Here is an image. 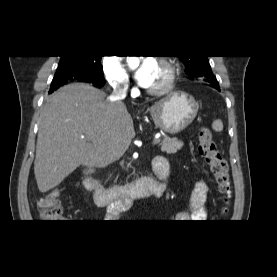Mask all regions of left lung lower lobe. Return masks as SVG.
<instances>
[{"label": "left lung lower lobe", "mask_w": 277, "mask_h": 277, "mask_svg": "<svg viewBox=\"0 0 277 277\" xmlns=\"http://www.w3.org/2000/svg\"><path fill=\"white\" fill-rule=\"evenodd\" d=\"M210 84H212V86L214 87V88H216L218 91H220V87H219V84L218 83H216V82H209Z\"/></svg>", "instance_id": "obj_1"}]
</instances>
